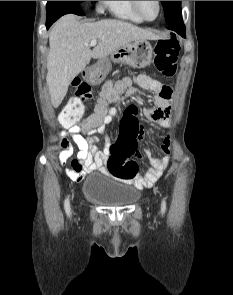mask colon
I'll return each instance as SVG.
<instances>
[{
    "label": "colon",
    "mask_w": 233,
    "mask_h": 295,
    "mask_svg": "<svg viewBox=\"0 0 233 295\" xmlns=\"http://www.w3.org/2000/svg\"><path fill=\"white\" fill-rule=\"evenodd\" d=\"M179 50L180 44L174 34L168 38L160 39L156 43L154 66L164 76L172 77L176 73ZM137 83L142 89L153 92L162 98L170 99L172 97L173 89L170 86L149 77H139ZM74 85L76 95L65 105L60 114L61 121L66 125H72L82 118L85 110L84 102L92 96L91 86L87 82L76 79ZM124 90L132 93L136 91L129 80L106 84L94 112L83 121V128L92 130L98 127L106 113V101L115 100ZM141 136L142 132L137 118L126 111L121 120L119 138L111 146V154L107 163L108 171L112 176L122 180H130L137 175L138 164L131 158L140 157L138 143Z\"/></svg>",
    "instance_id": "obj_1"
}]
</instances>
